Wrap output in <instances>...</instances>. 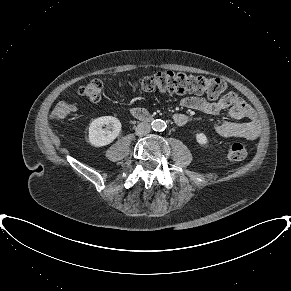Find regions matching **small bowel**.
Returning a JSON list of instances; mask_svg holds the SVG:
<instances>
[{
  "label": "small bowel",
  "instance_id": "small-bowel-1",
  "mask_svg": "<svg viewBox=\"0 0 291 291\" xmlns=\"http://www.w3.org/2000/svg\"><path fill=\"white\" fill-rule=\"evenodd\" d=\"M181 104L189 109L209 115H216L222 110H228L229 116L235 121H221L213 125L215 132L223 137L243 138L255 140L260 133V124L251 106L233 92H229L218 101H209L201 96L185 97ZM174 122L184 126L189 122V116L176 113ZM245 120V122H241Z\"/></svg>",
  "mask_w": 291,
  "mask_h": 291
}]
</instances>
